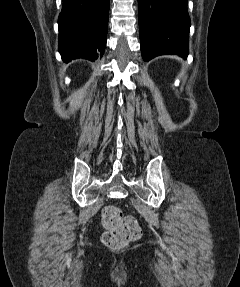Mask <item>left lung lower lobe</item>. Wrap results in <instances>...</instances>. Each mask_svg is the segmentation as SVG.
<instances>
[{
  "instance_id": "left-lung-lower-lobe-1",
  "label": "left lung lower lobe",
  "mask_w": 240,
  "mask_h": 287,
  "mask_svg": "<svg viewBox=\"0 0 240 287\" xmlns=\"http://www.w3.org/2000/svg\"><path fill=\"white\" fill-rule=\"evenodd\" d=\"M187 0H138L140 47L144 61L164 54L186 58L190 17Z\"/></svg>"
}]
</instances>
